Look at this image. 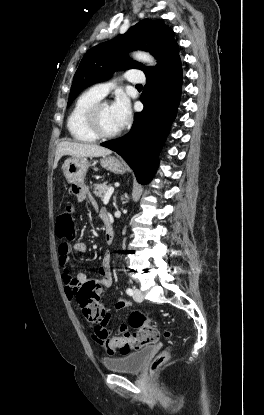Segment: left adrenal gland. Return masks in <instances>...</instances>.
<instances>
[{
  "instance_id": "a2214340",
  "label": "left adrenal gland",
  "mask_w": 264,
  "mask_h": 415,
  "mask_svg": "<svg viewBox=\"0 0 264 415\" xmlns=\"http://www.w3.org/2000/svg\"><path fill=\"white\" fill-rule=\"evenodd\" d=\"M113 199H114V203L113 204L116 205V196H114Z\"/></svg>"
}]
</instances>
